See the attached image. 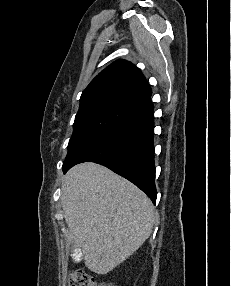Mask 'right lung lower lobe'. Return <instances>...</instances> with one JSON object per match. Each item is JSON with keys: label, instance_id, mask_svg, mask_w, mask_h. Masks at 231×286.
Returning <instances> with one entry per match:
<instances>
[{"label": "right lung lower lobe", "instance_id": "1", "mask_svg": "<svg viewBox=\"0 0 231 286\" xmlns=\"http://www.w3.org/2000/svg\"><path fill=\"white\" fill-rule=\"evenodd\" d=\"M153 109L149 97L135 110V116L94 142L76 160L65 165L63 172L82 162L104 165L134 183L155 203Z\"/></svg>", "mask_w": 231, "mask_h": 286}]
</instances>
